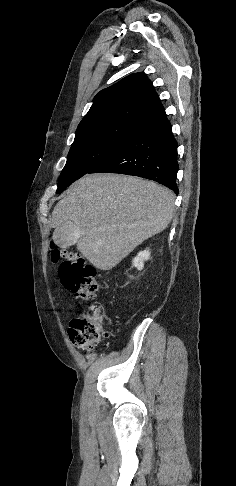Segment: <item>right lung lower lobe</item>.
<instances>
[{"label":"right lung lower lobe","instance_id":"obj_1","mask_svg":"<svg viewBox=\"0 0 236 486\" xmlns=\"http://www.w3.org/2000/svg\"><path fill=\"white\" fill-rule=\"evenodd\" d=\"M177 141L165 111L146 117L136 134L88 173H120L154 180L178 193Z\"/></svg>","mask_w":236,"mask_h":486}]
</instances>
